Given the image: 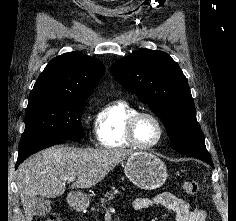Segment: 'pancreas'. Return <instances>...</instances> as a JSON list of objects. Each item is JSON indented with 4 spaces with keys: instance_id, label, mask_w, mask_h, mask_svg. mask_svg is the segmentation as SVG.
Here are the masks:
<instances>
[{
    "instance_id": "pancreas-1",
    "label": "pancreas",
    "mask_w": 236,
    "mask_h": 221,
    "mask_svg": "<svg viewBox=\"0 0 236 221\" xmlns=\"http://www.w3.org/2000/svg\"><path fill=\"white\" fill-rule=\"evenodd\" d=\"M119 193L120 191L114 189L113 191L106 192V194H104L103 198L100 199V203H97L91 208V212L93 213L95 218L97 217V213L103 212L106 208V205L110 204L111 201L114 200L115 195Z\"/></svg>"
}]
</instances>
